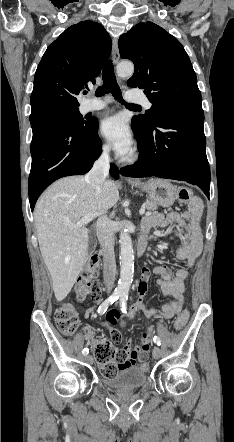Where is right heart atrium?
Wrapping results in <instances>:
<instances>
[{
	"label": "right heart atrium",
	"instance_id": "d8ad5b80",
	"mask_svg": "<svg viewBox=\"0 0 234 442\" xmlns=\"http://www.w3.org/2000/svg\"><path fill=\"white\" fill-rule=\"evenodd\" d=\"M99 152H100V156L102 158H107L109 156V152H110V147L108 144L106 143H101L100 147H99Z\"/></svg>",
	"mask_w": 234,
	"mask_h": 442
}]
</instances>
